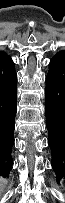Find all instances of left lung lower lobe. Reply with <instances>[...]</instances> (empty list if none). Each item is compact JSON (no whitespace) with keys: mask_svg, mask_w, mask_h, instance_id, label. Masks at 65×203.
Segmentation results:
<instances>
[{"mask_svg":"<svg viewBox=\"0 0 65 203\" xmlns=\"http://www.w3.org/2000/svg\"><path fill=\"white\" fill-rule=\"evenodd\" d=\"M46 126L57 181L65 178V51L49 63L45 89Z\"/></svg>","mask_w":65,"mask_h":203,"instance_id":"left-lung-lower-lobe-1","label":"left lung lower lobe"}]
</instances>
